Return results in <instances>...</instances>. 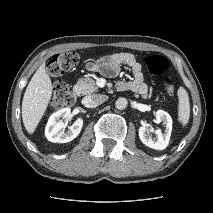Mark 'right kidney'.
<instances>
[{
	"instance_id": "obj_1",
	"label": "right kidney",
	"mask_w": 213,
	"mask_h": 213,
	"mask_svg": "<svg viewBox=\"0 0 213 213\" xmlns=\"http://www.w3.org/2000/svg\"><path fill=\"white\" fill-rule=\"evenodd\" d=\"M71 113L70 108H63L53 113L47 122L45 128V136L50 142L66 143L75 139L83 126V120L78 118L69 128L68 132H64L65 124L60 119L67 118Z\"/></svg>"
}]
</instances>
